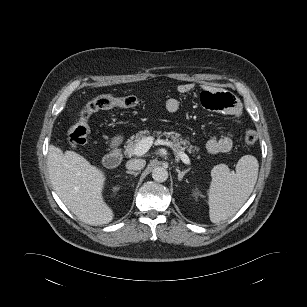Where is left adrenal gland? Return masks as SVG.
<instances>
[{"label":"left adrenal gland","mask_w":307,"mask_h":307,"mask_svg":"<svg viewBox=\"0 0 307 307\" xmlns=\"http://www.w3.org/2000/svg\"><path fill=\"white\" fill-rule=\"evenodd\" d=\"M190 168L180 171L179 168H176V171L178 173V181H182L183 177L189 172Z\"/></svg>","instance_id":"1"}]
</instances>
